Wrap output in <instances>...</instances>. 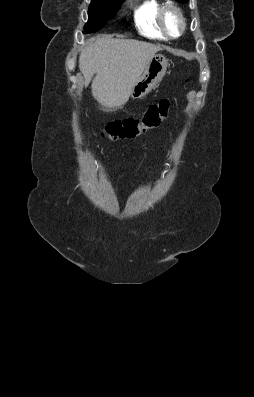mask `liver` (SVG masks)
I'll use <instances>...</instances> for the list:
<instances>
[{
    "label": "liver",
    "instance_id": "6515ba94",
    "mask_svg": "<svg viewBox=\"0 0 254 397\" xmlns=\"http://www.w3.org/2000/svg\"><path fill=\"white\" fill-rule=\"evenodd\" d=\"M160 50L152 43L134 39H90L79 56L84 84L87 86L96 74L92 95L106 111H116L128 101L146 65Z\"/></svg>",
    "mask_w": 254,
    "mask_h": 397
}]
</instances>
